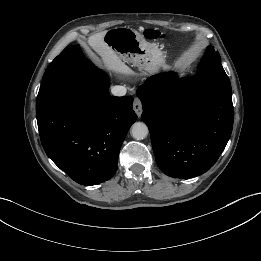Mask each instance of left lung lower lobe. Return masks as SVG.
Returning <instances> with one entry per match:
<instances>
[{
  "label": "left lung lower lobe",
  "instance_id": "0a47b994",
  "mask_svg": "<svg viewBox=\"0 0 261 261\" xmlns=\"http://www.w3.org/2000/svg\"><path fill=\"white\" fill-rule=\"evenodd\" d=\"M156 163L168 176L187 179L208 171L232 132V90L221 63L203 61L194 79L157 74L137 89Z\"/></svg>",
  "mask_w": 261,
  "mask_h": 261
}]
</instances>
